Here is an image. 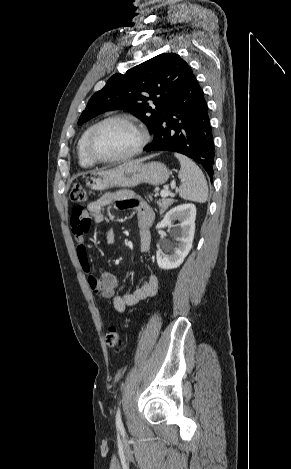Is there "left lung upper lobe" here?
Listing matches in <instances>:
<instances>
[{"label": "left lung upper lobe", "instance_id": "left-lung-upper-lobe-1", "mask_svg": "<svg viewBox=\"0 0 291 469\" xmlns=\"http://www.w3.org/2000/svg\"><path fill=\"white\" fill-rule=\"evenodd\" d=\"M191 74L190 66L175 53L160 54L129 69L126 74L117 73L91 97L78 125L108 110L129 109L155 133L168 104ZM149 100L155 108L149 106Z\"/></svg>", "mask_w": 291, "mask_h": 469}]
</instances>
